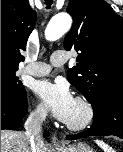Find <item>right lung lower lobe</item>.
Segmentation results:
<instances>
[{"label": "right lung lower lobe", "instance_id": "98d812e1", "mask_svg": "<svg viewBox=\"0 0 123 152\" xmlns=\"http://www.w3.org/2000/svg\"><path fill=\"white\" fill-rule=\"evenodd\" d=\"M27 97L20 100L1 99V130H18L22 119L27 114ZM45 138L48 132L44 134Z\"/></svg>", "mask_w": 123, "mask_h": 152}]
</instances>
